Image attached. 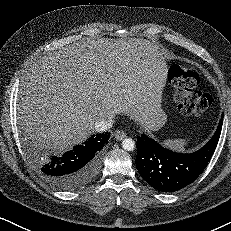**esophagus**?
<instances>
[{
	"label": "esophagus",
	"mask_w": 231,
	"mask_h": 231,
	"mask_svg": "<svg viewBox=\"0 0 231 231\" xmlns=\"http://www.w3.org/2000/svg\"><path fill=\"white\" fill-rule=\"evenodd\" d=\"M114 137L116 140L120 141L123 140L126 137V133L123 130H117L114 133Z\"/></svg>",
	"instance_id": "34e87169"
}]
</instances>
